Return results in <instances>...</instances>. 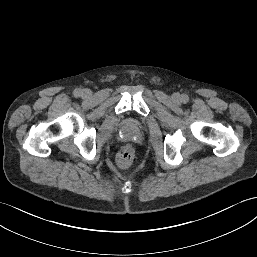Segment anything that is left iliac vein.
<instances>
[{
    "instance_id": "4c4485c4",
    "label": "left iliac vein",
    "mask_w": 257,
    "mask_h": 257,
    "mask_svg": "<svg viewBox=\"0 0 257 257\" xmlns=\"http://www.w3.org/2000/svg\"><path fill=\"white\" fill-rule=\"evenodd\" d=\"M172 98L174 101H177L180 98V96L178 94H174Z\"/></svg>"
}]
</instances>
